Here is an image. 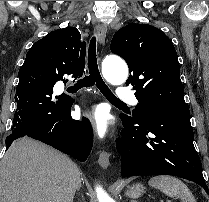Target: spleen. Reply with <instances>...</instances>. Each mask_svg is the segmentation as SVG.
<instances>
[{
	"mask_svg": "<svg viewBox=\"0 0 209 202\" xmlns=\"http://www.w3.org/2000/svg\"><path fill=\"white\" fill-rule=\"evenodd\" d=\"M148 184L169 197L179 198L182 202H196L187 185L176 177L168 175L155 176L149 180Z\"/></svg>",
	"mask_w": 209,
	"mask_h": 202,
	"instance_id": "3e777b00",
	"label": "spleen"
}]
</instances>
